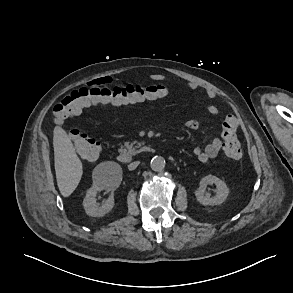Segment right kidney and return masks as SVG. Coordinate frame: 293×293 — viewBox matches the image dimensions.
<instances>
[{"label": "right kidney", "mask_w": 293, "mask_h": 293, "mask_svg": "<svg viewBox=\"0 0 293 293\" xmlns=\"http://www.w3.org/2000/svg\"><path fill=\"white\" fill-rule=\"evenodd\" d=\"M110 169L109 175L95 179L93 185L87 190L86 196L83 200V206L87 215L91 217H103L114 207V197H109L102 206L96 203V195L98 191L107 189L109 191L115 190L121 180V168L113 162L105 163ZM113 172L117 173V179L112 180Z\"/></svg>", "instance_id": "obj_1"}]
</instances>
